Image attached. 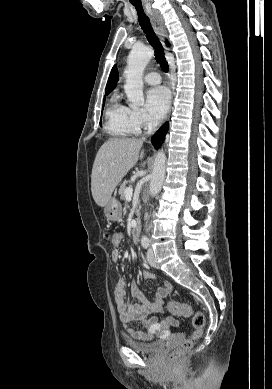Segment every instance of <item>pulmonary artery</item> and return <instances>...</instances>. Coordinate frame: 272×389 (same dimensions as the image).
Wrapping results in <instances>:
<instances>
[{"label": "pulmonary artery", "instance_id": "pulmonary-artery-1", "mask_svg": "<svg viewBox=\"0 0 272 389\" xmlns=\"http://www.w3.org/2000/svg\"><path fill=\"white\" fill-rule=\"evenodd\" d=\"M144 79L148 84H151V85H156V84H159L161 82V77H160L159 73H157V72L147 73L145 75Z\"/></svg>", "mask_w": 272, "mask_h": 389}]
</instances>
